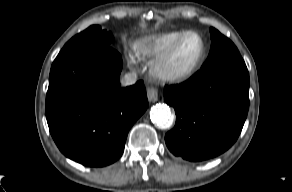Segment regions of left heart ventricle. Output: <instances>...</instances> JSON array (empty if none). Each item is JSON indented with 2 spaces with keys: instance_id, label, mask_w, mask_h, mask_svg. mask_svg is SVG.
I'll return each mask as SVG.
<instances>
[{
  "instance_id": "obj_1",
  "label": "left heart ventricle",
  "mask_w": 292,
  "mask_h": 192,
  "mask_svg": "<svg viewBox=\"0 0 292 192\" xmlns=\"http://www.w3.org/2000/svg\"><path fill=\"white\" fill-rule=\"evenodd\" d=\"M201 41L197 36L191 35L187 37L181 44L173 66L177 70H183L190 67L201 53Z\"/></svg>"
}]
</instances>
